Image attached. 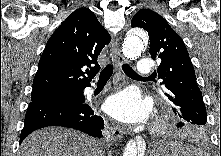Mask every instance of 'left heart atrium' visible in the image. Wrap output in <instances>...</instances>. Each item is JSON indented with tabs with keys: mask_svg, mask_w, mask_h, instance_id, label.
<instances>
[{
	"mask_svg": "<svg viewBox=\"0 0 221 156\" xmlns=\"http://www.w3.org/2000/svg\"><path fill=\"white\" fill-rule=\"evenodd\" d=\"M106 113L113 119L125 124L145 123L151 113L152 105L132 88L124 89L107 98L104 104Z\"/></svg>",
	"mask_w": 221,
	"mask_h": 156,
	"instance_id": "1",
	"label": "left heart atrium"
}]
</instances>
